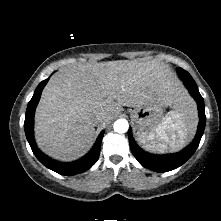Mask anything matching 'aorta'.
I'll list each match as a JSON object with an SVG mask.
<instances>
[{
  "label": "aorta",
  "mask_w": 221,
  "mask_h": 221,
  "mask_svg": "<svg viewBox=\"0 0 221 221\" xmlns=\"http://www.w3.org/2000/svg\"><path fill=\"white\" fill-rule=\"evenodd\" d=\"M114 131L117 133H125L129 128L128 121L125 119H118L114 123Z\"/></svg>",
  "instance_id": "obj_1"
}]
</instances>
